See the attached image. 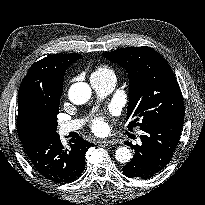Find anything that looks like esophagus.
Returning <instances> with one entry per match:
<instances>
[{
	"mask_svg": "<svg viewBox=\"0 0 205 205\" xmlns=\"http://www.w3.org/2000/svg\"><path fill=\"white\" fill-rule=\"evenodd\" d=\"M99 143L105 146H113L116 145L118 142L116 140H103V141H99Z\"/></svg>",
	"mask_w": 205,
	"mask_h": 205,
	"instance_id": "34e87169",
	"label": "esophagus"
}]
</instances>
